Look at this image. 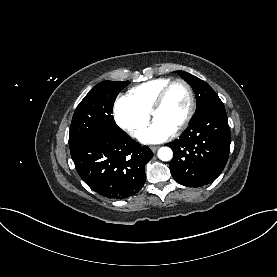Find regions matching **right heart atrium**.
<instances>
[{
  "mask_svg": "<svg viewBox=\"0 0 277 277\" xmlns=\"http://www.w3.org/2000/svg\"><path fill=\"white\" fill-rule=\"evenodd\" d=\"M113 115L117 125L132 137H137L149 121L148 114L141 112L128 96L116 99Z\"/></svg>",
  "mask_w": 277,
  "mask_h": 277,
  "instance_id": "1",
  "label": "right heart atrium"
}]
</instances>
